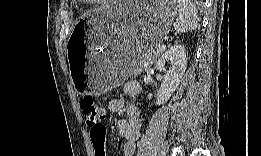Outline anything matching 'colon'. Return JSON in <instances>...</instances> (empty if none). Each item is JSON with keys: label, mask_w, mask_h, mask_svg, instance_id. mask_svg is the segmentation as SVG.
<instances>
[{"label": "colon", "mask_w": 261, "mask_h": 156, "mask_svg": "<svg viewBox=\"0 0 261 156\" xmlns=\"http://www.w3.org/2000/svg\"><path fill=\"white\" fill-rule=\"evenodd\" d=\"M80 107L85 123L90 128V136L95 153L97 156H101L105 149L106 140V129L102 125L104 110L92 97H84L80 101Z\"/></svg>", "instance_id": "obj_1"}]
</instances>
